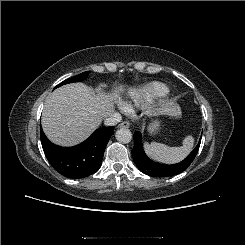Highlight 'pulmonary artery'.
Segmentation results:
<instances>
[{
  "label": "pulmonary artery",
  "instance_id": "e3ab8cb5",
  "mask_svg": "<svg viewBox=\"0 0 245 245\" xmlns=\"http://www.w3.org/2000/svg\"><path fill=\"white\" fill-rule=\"evenodd\" d=\"M122 109H123V111H125V112L129 111V109H128L126 106H123V105H122Z\"/></svg>",
  "mask_w": 245,
  "mask_h": 245
}]
</instances>
